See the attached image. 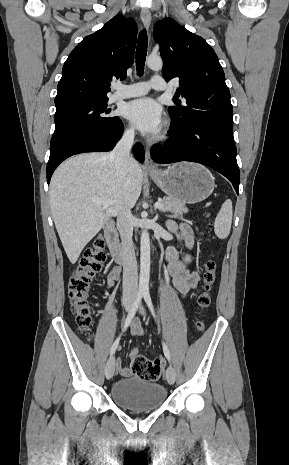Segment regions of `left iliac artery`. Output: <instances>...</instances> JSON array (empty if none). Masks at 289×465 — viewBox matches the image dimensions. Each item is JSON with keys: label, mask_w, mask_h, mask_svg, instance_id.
<instances>
[{"label": "left iliac artery", "mask_w": 289, "mask_h": 465, "mask_svg": "<svg viewBox=\"0 0 289 465\" xmlns=\"http://www.w3.org/2000/svg\"><path fill=\"white\" fill-rule=\"evenodd\" d=\"M143 297H144V300H145L147 306L149 307L153 317L156 319V314H155V311H154V307H153V304H152V300H151L149 291H145L143 293ZM163 351H164L165 357L168 360H170L171 359L170 352H169V349H168V347L166 346V344L164 342H163Z\"/></svg>", "instance_id": "1"}]
</instances>
